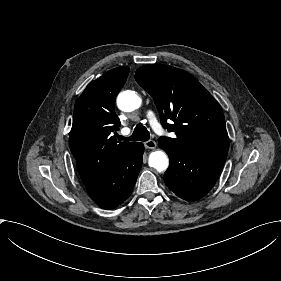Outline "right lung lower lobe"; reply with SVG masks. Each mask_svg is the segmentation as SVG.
<instances>
[{"mask_svg": "<svg viewBox=\"0 0 281 281\" xmlns=\"http://www.w3.org/2000/svg\"><path fill=\"white\" fill-rule=\"evenodd\" d=\"M143 152V144L136 142L113 168L83 182L97 205L113 209L130 196L142 166Z\"/></svg>", "mask_w": 281, "mask_h": 281, "instance_id": "1", "label": "right lung lower lobe"}]
</instances>
